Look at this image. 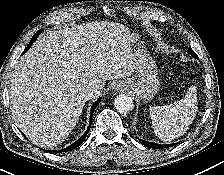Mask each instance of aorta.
Returning a JSON list of instances; mask_svg holds the SVG:
<instances>
[{
	"label": "aorta",
	"mask_w": 224,
	"mask_h": 175,
	"mask_svg": "<svg viewBox=\"0 0 224 175\" xmlns=\"http://www.w3.org/2000/svg\"><path fill=\"white\" fill-rule=\"evenodd\" d=\"M114 106L120 113H127L134 107L131 97L125 94L118 95L114 100Z\"/></svg>",
	"instance_id": "762f6f07"
}]
</instances>
